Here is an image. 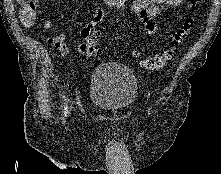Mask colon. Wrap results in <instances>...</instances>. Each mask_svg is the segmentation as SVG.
Here are the masks:
<instances>
[{
    "instance_id": "colon-1",
    "label": "colon",
    "mask_w": 221,
    "mask_h": 174,
    "mask_svg": "<svg viewBox=\"0 0 221 174\" xmlns=\"http://www.w3.org/2000/svg\"><path fill=\"white\" fill-rule=\"evenodd\" d=\"M20 9V19L24 26H32L37 18V5L39 0H17ZM198 0H190V4L194 6ZM194 25L192 17L186 18L181 26L172 34L171 44L159 53L151 56L142 57L139 65L146 70H159L163 68L176 54L178 46L183 42L187 33ZM82 44L79 49L86 56L94 55L99 49V32L83 30L81 32ZM136 56L138 53H134Z\"/></svg>"
}]
</instances>
